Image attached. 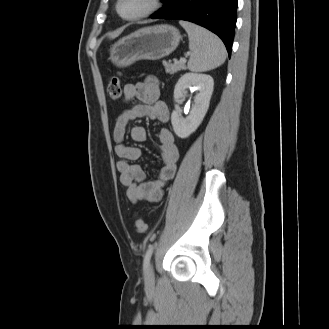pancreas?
Wrapping results in <instances>:
<instances>
[{"label": "pancreas", "instance_id": "pancreas-1", "mask_svg": "<svg viewBox=\"0 0 329 329\" xmlns=\"http://www.w3.org/2000/svg\"><path fill=\"white\" fill-rule=\"evenodd\" d=\"M164 67H165L166 73H170V74H174L177 71L186 69L185 63H182L177 60H174V63H171V62L164 63Z\"/></svg>", "mask_w": 329, "mask_h": 329}]
</instances>
